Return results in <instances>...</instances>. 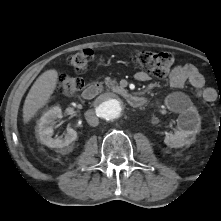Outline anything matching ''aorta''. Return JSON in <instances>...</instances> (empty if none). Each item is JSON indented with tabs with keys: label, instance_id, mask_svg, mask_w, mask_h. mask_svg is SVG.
Wrapping results in <instances>:
<instances>
[{
	"label": "aorta",
	"instance_id": "762f6f07",
	"mask_svg": "<svg viewBox=\"0 0 221 221\" xmlns=\"http://www.w3.org/2000/svg\"><path fill=\"white\" fill-rule=\"evenodd\" d=\"M96 114L105 122H114L124 113L125 103L117 95L108 93L97 102Z\"/></svg>",
	"mask_w": 221,
	"mask_h": 221
}]
</instances>
